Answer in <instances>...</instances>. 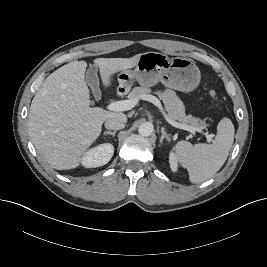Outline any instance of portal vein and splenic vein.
<instances>
[{"instance_id":"1","label":"portal vein and splenic vein","mask_w":267,"mask_h":267,"mask_svg":"<svg viewBox=\"0 0 267 267\" xmlns=\"http://www.w3.org/2000/svg\"><path fill=\"white\" fill-rule=\"evenodd\" d=\"M143 100L149 101L151 103H153L161 112V114L163 115V117L165 118V120L172 125L175 128L178 129H182V130H186L188 132H190L191 134H195V132H202L200 128H195L193 126L190 125H186V124H182L179 122L174 121L172 118H170V116L165 112V109L163 108L160 100L158 98H156L153 95H144L141 97ZM138 103V99H129V100H122V101H116V102H112L109 105H107V109L110 111H115V112H122V111H127L132 109L136 104ZM208 142H211V138L212 135L208 134V133H203Z\"/></svg>"}]
</instances>
